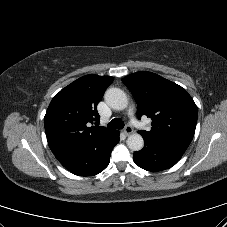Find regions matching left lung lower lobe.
<instances>
[{"label":"left lung lower lobe","instance_id":"left-lung-lower-lobe-1","mask_svg":"<svg viewBox=\"0 0 227 227\" xmlns=\"http://www.w3.org/2000/svg\"><path fill=\"white\" fill-rule=\"evenodd\" d=\"M185 149L178 146L144 138V147L134 152L135 163L147 171H162L174 166Z\"/></svg>","mask_w":227,"mask_h":227}]
</instances>
